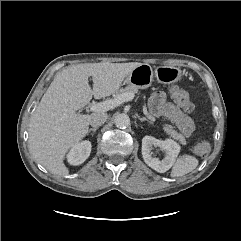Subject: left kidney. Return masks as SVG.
<instances>
[{
  "label": "left kidney",
  "mask_w": 241,
  "mask_h": 241,
  "mask_svg": "<svg viewBox=\"0 0 241 241\" xmlns=\"http://www.w3.org/2000/svg\"><path fill=\"white\" fill-rule=\"evenodd\" d=\"M153 147H160L165 152L162 160L152 156ZM179 152L180 146L171 139L159 140L152 136H145L142 139V156L144 162L159 173H164L171 168Z\"/></svg>",
  "instance_id": "1"
}]
</instances>
